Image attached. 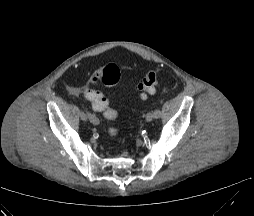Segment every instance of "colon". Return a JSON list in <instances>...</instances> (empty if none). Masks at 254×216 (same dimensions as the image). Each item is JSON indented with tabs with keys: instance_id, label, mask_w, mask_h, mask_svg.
<instances>
[{
	"instance_id": "1",
	"label": "colon",
	"mask_w": 254,
	"mask_h": 216,
	"mask_svg": "<svg viewBox=\"0 0 254 216\" xmlns=\"http://www.w3.org/2000/svg\"><path fill=\"white\" fill-rule=\"evenodd\" d=\"M120 70L114 64H108L107 66L96 70L88 79V87L85 90V97L90 100L94 107L102 109L104 111V117L109 120H113L117 117V111L108 107V99L105 95L93 88L95 84L101 82L105 86L112 87L119 84ZM158 85V77L155 70L147 71L142 80L136 85L135 89L139 93L142 99H146L149 94H153L156 91ZM110 135H116V129H110Z\"/></svg>"
}]
</instances>
